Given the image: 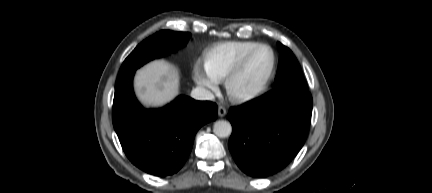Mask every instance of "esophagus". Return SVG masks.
<instances>
[{"label": "esophagus", "mask_w": 432, "mask_h": 193, "mask_svg": "<svg viewBox=\"0 0 432 193\" xmlns=\"http://www.w3.org/2000/svg\"><path fill=\"white\" fill-rule=\"evenodd\" d=\"M226 113H227L226 108L224 106H222V105H219V107H218V116L219 117H224L226 115Z\"/></svg>", "instance_id": "esophagus-1"}]
</instances>
